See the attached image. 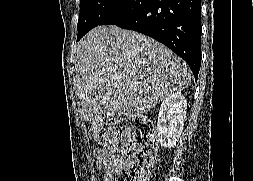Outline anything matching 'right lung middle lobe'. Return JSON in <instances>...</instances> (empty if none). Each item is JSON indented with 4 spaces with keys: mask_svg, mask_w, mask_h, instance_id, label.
<instances>
[{
    "mask_svg": "<svg viewBox=\"0 0 253 181\" xmlns=\"http://www.w3.org/2000/svg\"><path fill=\"white\" fill-rule=\"evenodd\" d=\"M128 0H80L78 36L101 25L110 15L121 8Z\"/></svg>",
    "mask_w": 253,
    "mask_h": 181,
    "instance_id": "dd1d6c3e",
    "label": "right lung middle lobe"
}]
</instances>
